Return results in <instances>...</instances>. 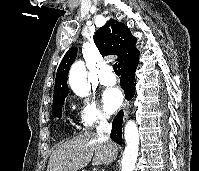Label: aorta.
<instances>
[{"mask_svg": "<svg viewBox=\"0 0 199 171\" xmlns=\"http://www.w3.org/2000/svg\"><path fill=\"white\" fill-rule=\"evenodd\" d=\"M86 77L87 72L84 63L82 61L75 62L69 72V84L78 96L84 97L89 93V85ZM124 133L126 148L123 154L121 168L122 171H133L139 150V134L136 123L134 121H128Z\"/></svg>", "mask_w": 199, "mask_h": 171, "instance_id": "1", "label": "aorta"}]
</instances>
